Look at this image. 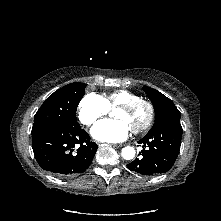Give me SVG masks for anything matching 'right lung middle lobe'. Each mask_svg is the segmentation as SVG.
<instances>
[{
	"instance_id": "right-lung-middle-lobe-1",
	"label": "right lung middle lobe",
	"mask_w": 221,
	"mask_h": 221,
	"mask_svg": "<svg viewBox=\"0 0 221 221\" xmlns=\"http://www.w3.org/2000/svg\"><path fill=\"white\" fill-rule=\"evenodd\" d=\"M85 83H71L50 95L34 116L31 135L54 126L80 127L76 118L77 106L85 94Z\"/></svg>"
}]
</instances>
